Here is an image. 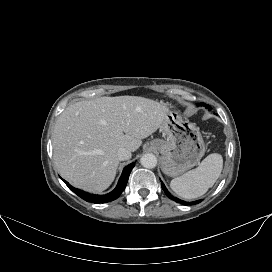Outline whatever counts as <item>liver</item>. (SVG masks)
Instances as JSON below:
<instances>
[{
    "label": "liver",
    "mask_w": 272,
    "mask_h": 272,
    "mask_svg": "<svg viewBox=\"0 0 272 272\" xmlns=\"http://www.w3.org/2000/svg\"><path fill=\"white\" fill-rule=\"evenodd\" d=\"M168 112L165 103L138 96L99 97L70 105L53 132L58 172L75 187L104 191L115 178L118 149L136 151Z\"/></svg>",
    "instance_id": "liver-1"
}]
</instances>
